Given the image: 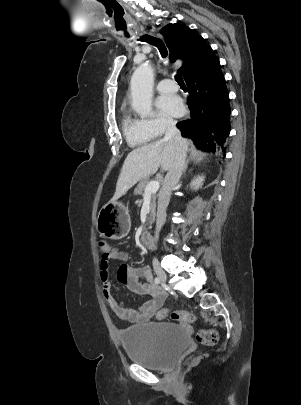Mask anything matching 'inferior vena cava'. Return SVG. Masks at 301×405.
<instances>
[{"label":"inferior vena cava","instance_id":"602c4592","mask_svg":"<svg viewBox=\"0 0 301 405\" xmlns=\"http://www.w3.org/2000/svg\"><path fill=\"white\" fill-rule=\"evenodd\" d=\"M164 140L173 141L177 147V153L175 159L170 166L162 188L158 194V207H157V219H156V231L155 238L158 239L159 232L166 221V209L170 201L171 191L178 183L182 172L185 168L186 152L188 144L184 138H182L179 129L176 127V121L173 119L166 120V131Z\"/></svg>","mask_w":301,"mask_h":405}]
</instances>
